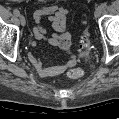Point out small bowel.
<instances>
[{
    "instance_id": "c3829d8e",
    "label": "small bowel",
    "mask_w": 119,
    "mask_h": 119,
    "mask_svg": "<svg viewBox=\"0 0 119 119\" xmlns=\"http://www.w3.org/2000/svg\"><path fill=\"white\" fill-rule=\"evenodd\" d=\"M47 18L52 22L53 29L58 33L49 34L41 25V20ZM33 35L38 40H43L52 46L59 47L62 50H70L71 36L66 32L69 21V12L62 6L58 5H45L39 6L33 13ZM32 47H37L36 41H31ZM29 60L34 68L42 77H54L62 74L67 68H72L76 64V59L71 56L65 64L54 66H46L42 63L33 53L29 54Z\"/></svg>"
}]
</instances>
